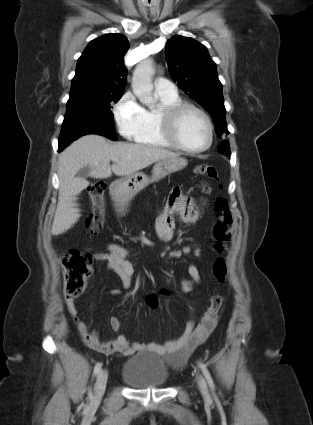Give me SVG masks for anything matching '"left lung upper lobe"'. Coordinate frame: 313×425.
Masks as SVG:
<instances>
[{
    "label": "left lung upper lobe",
    "mask_w": 313,
    "mask_h": 425,
    "mask_svg": "<svg viewBox=\"0 0 313 425\" xmlns=\"http://www.w3.org/2000/svg\"><path fill=\"white\" fill-rule=\"evenodd\" d=\"M165 55L171 77L188 96L210 113L217 135L229 134L222 84L207 48L192 38L179 35L167 41ZM219 149L223 154L230 155L228 142L221 144Z\"/></svg>",
    "instance_id": "left-lung-upper-lobe-1"
}]
</instances>
